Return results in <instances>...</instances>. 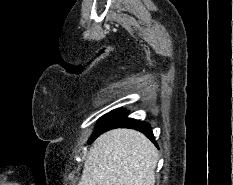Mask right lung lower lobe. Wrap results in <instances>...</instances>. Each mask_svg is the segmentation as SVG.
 <instances>
[{
  "label": "right lung lower lobe",
  "instance_id": "1",
  "mask_svg": "<svg viewBox=\"0 0 233 185\" xmlns=\"http://www.w3.org/2000/svg\"><path fill=\"white\" fill-rule=\"evenodd\" d=\"M126 115L127 114L125 112L119 113L117 111H112L103 121L99 135L114 128H131L144 133L152 142L155 143L151 127L148 123L127 118Z\"/></svg>",
  "mask_w": 233,
  "mask_h": 185
}]
</instances>
